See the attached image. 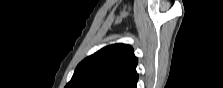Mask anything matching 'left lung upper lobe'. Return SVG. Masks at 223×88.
I'll return each instance as SVG.
<instances>
[{"label":"left lung upper lobe","instance_id":"5c2ea615","mask_svg":"<svg viewBox=\"0 0 223 88\" xmlns=\"http://www.w3.org/2000/svg\"><path fill=\"white\" fill-rule=\"evenodd\" d=\"M137 62L131 46H106L77 66L65 88H136Z\"/></svg>","mask_w":223,"mask_h":88}]
</instances>
